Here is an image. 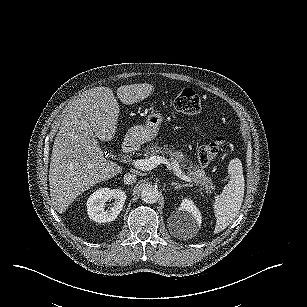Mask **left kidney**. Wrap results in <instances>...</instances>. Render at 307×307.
I'll use <instances>...</instances> for the list:
<instances>
[{
  "label": "left kidney",
  "instance_id": "5707ae66",
  "mask_svg": "<svg viewBox=\"0 0 307 307\" xmlns=\"http://www.w3.org/2000/svg\"><path fill=\"white\" fill-rule=\"evenodd\" d=\"M172 215L176 222H172L171 225L174 224V233L177 236L187 239L197 234L202 223V217L191 199H183L177 211Z\"/></svg>",
  "mask_w": 307,
  "mask_h": 307
}]
</instances>
